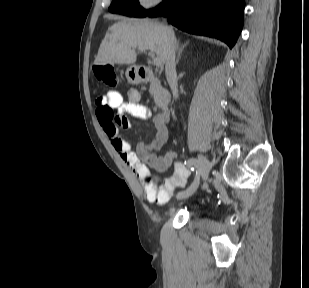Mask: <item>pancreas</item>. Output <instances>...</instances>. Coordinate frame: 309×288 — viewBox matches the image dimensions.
<instances>
[{
	"label": "pancreas",
	"mask_w": 309,
	"mask_h": 288,
	"mask_svg": "<svg viewBox=\"0 0 309 288\" xmlns=\"http://www.w3.org/2000/svg\"><path fill=\"white\" fill-rule=\"evenodd\" d=\"M162 90V87L160 85V82L157 79H154L150 84L149 92L151 96H153L155 99L157 98L158 93Z\"/></svg>",
	"instance_id": "cf45deb5"
}]
</instances>
